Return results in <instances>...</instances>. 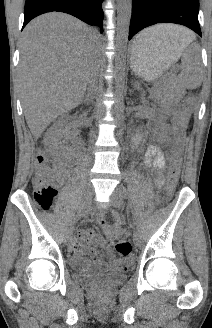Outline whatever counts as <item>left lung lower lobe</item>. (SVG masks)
Listing matches in <instances>:
<instances>
[{
	"label": "left lung lower lobe",
	"mask_w": 212,
	"mask_h": 328,
	"mask_svg": "<svg viewBox=\"0 0 212 328\" xmlns=\"http://www.w3.org/2000/svg\"><path fill=\"white\" fill-rule=\"evenodd\" d=\"M198 11L199 0H132L129 40L157 23L181 24L201 36Z\"/></svg>",
	"instance_id": "left-lung-lower-lobe-1"
}]
</instances>
